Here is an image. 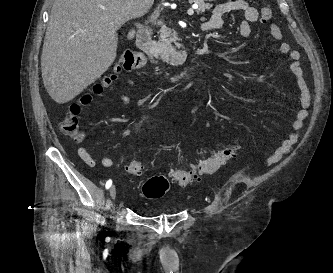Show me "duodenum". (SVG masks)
Returning <instances> with one entry per match:
<instances>
[{
	"mask_svg": "<svg viewBox=\"0 0 333 273\" xmlns=\"http://www.w3.org/2000/svg\"><path fill=\"white\" fill-rule=\"evenodd\" d=\"M136 42L138 48L143 51L151 60H154L156 57L155 50H154V41L153 35L149 29L143 28L137 31L136 33ZM197 72V66L193 65L189 67L184 72L169 77V81L172 84H181L183 80L189 78L194 73Z\"/></svg>",
	"mask_w": 333,
	"mask_h": 273,
	"instance_id": "1",
	"label": "duodenum"
}]
</instances>
